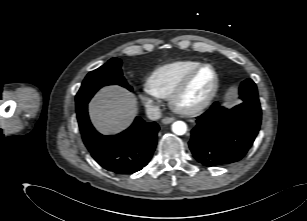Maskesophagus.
<instances>
[{"label": "esophagus", "instance_id": "obj_1", "mask_svg": "<svg viewBox=\"0 0 307 221\" xmlns=\"http://www.w3.org/2000/svg\"><path fill=\"white\" fill-rule=\"evenodd\" d=\"M174 121H175V119L171 118V117H165V118L162 119V123L163 124H170V123H172Z\"/></svg>", "mask_w": 307, "mask_h": 221}]
</instances>
